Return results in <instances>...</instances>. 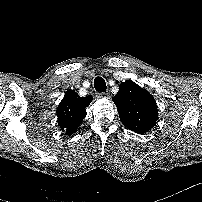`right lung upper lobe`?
<instances>
[{"mask_svg":"<svg viewBox=\"0 0 202 202\" xmlns=\"http://www.w3.org/2000/svg\"><path fill=\"white\" fill-rule=\"evenodd\" d=\"M91 101V96L80 97L73 90L66 91L56 111L61 130L68 135L77 132L86 116L85 109Z\"/></svg>","mask_w":202,"mask_h":202,"instance_id":"cb5924a9","label":"right lung upper lobe"}]
</instances>
